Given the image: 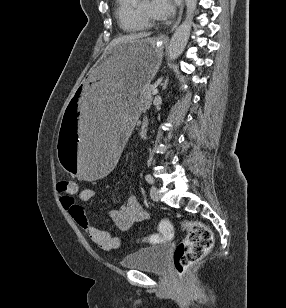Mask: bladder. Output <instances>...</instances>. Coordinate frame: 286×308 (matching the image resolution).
<instances>
[{
	"label": "bladder",
	"instance_id": "1",
	"mask_svg": "<svg viewBox=\"0 0 286 308\" xmlns=\"http://www.w3.org/2000/svg\"><path fill=\"white\" fill-rule=\"evenodd\" d=\"M166 244L140 248L128 254L121 262L123 268L161 273L167 264Z\"/></svg>",
	"mask_w": 286,
	"mask_h": 308
}]
</instances>
